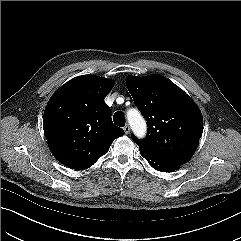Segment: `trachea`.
Returning a JSON list of instances; mask_svg holds the SVG:
<instances>
[{"label": "trachea", "mask_w": 241, "mask_h": 241, "mask_svg": "<svg viewBox=\"0 0 241 241\" xmlns=\"http://www.w3.org/2000/svg\"><path fill=\"white\" fill-rule=\"evenodd\" d=\"M113 121L116 125L120 126V127H124L125 126V117L124 114L120 111L116 112L113 115Z\"/></svg>", "instance_id": "1"}]
</instances>
